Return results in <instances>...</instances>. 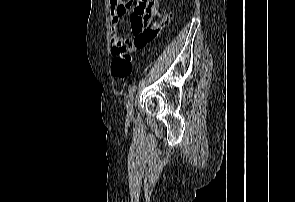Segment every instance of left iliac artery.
<instances>
[{
    "mask_svg": "<svg viewBox=\"0 0 295 202\" xmlns=\"http://www.w3.org/2000/svg\"><path fill=\"white\" fill-rule=\"evenodd\" d=\"M136 89H137L136 85L132 86L129 90V95H132L136 91Z\"/></svg>",
    "mask_w": 295,
    "mask_h": 202,
    "instance_id": "obj_1",
    "label": "left iliac artery"
}]
</instances>
